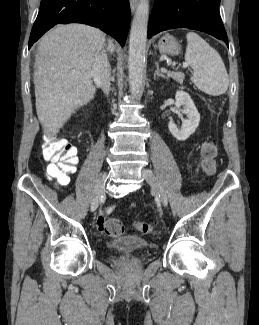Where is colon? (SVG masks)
<instances>
[{
  "instance_id": "colon-1",
  "label": "colon",
  "mask_w": 259,
  "mask_h": 325,
  "mask_svg": "<svg viewBox=\"0 0 259 325\" xmlns=\"http://www.w3.org/2000/svg\"><path fill=\"white\" fill-rule=\"evenodd\" d=\"M216 145L213 141H207L201 148L202 167L205 173L213 174L216 170L215 156ZM43 156L50 161L47 167V175L54 179L59 185H66L69 176L75 172L78 162L77 150L68 141L62 138H51L43 145ZM136 228L143 234H149L153 226L148 223L139 222ZM125 227L120 219L112 218L106 221L104 231L113 237L121 236Z\"/></svg>"
}]
</instances>
